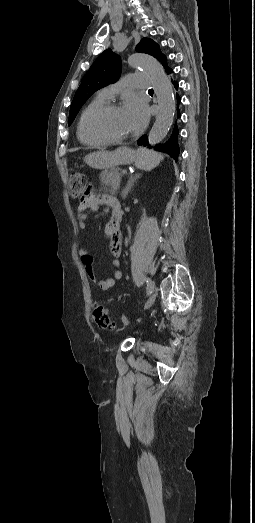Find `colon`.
<instances>
[{"mask_svg":"<svg viewBox=\"0 0 255 523\" xmlns=\"http://www.w3.org/2000/svg\"><path fill=\"white\" fill-rule=\"evenodd\" d=\"M86 178L81 173H73L70 178V195L73 199L83 201L88 196ZM96 324L102 329L114 328V322L109 311L102 305H96L93 312Z\"/></svg>","mask_w":255,"mask_h":523,"instance_id":"1","label":"colon"}]
</instances>
